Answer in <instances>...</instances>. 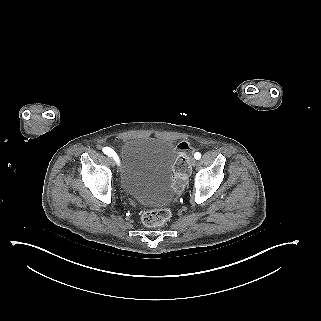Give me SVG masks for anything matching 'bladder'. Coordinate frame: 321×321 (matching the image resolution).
I'll return each instance as SVG.
<instances>
[{
  "mask_svg": "<svg viewBox=\"0 0 321 321\" xmlns=\"http://www.w3.org/2000/svg\"><path fill=\"white\" fill-rule=\"evenodd\" d=\"M177 150L172 142L151 137L127 139L119 154L118 180L123 192L143 205H161L175 193Z\"/></svg>",
  "mask_w": 321,
  "mask_h": 321,
  "instance_id": "1",
  "label": "bladder"
}]
</instances>
